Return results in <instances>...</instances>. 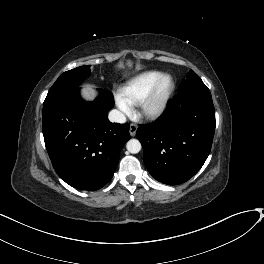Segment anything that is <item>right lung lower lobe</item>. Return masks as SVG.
Here are the masks:
<instances>
[{
	"mask_svg": "<svg viewBox=\"0 0 264 264\" xmlns=\"http://www.w3.org/2000/svg\"><path fill=\"white\" fill-rule=\"evenodd\" d=\"M84 101L79 87L43 106V136L52 165L70 186L95 191L112 178L119 154L129 140V124L111 123L113 95L100 90Z\"/></svg>",
	"mask_w": 264,
	"mask_h": 264,
	"instance_id": "1",
	"label": "right lung lower lobe"
}]
</instances>
